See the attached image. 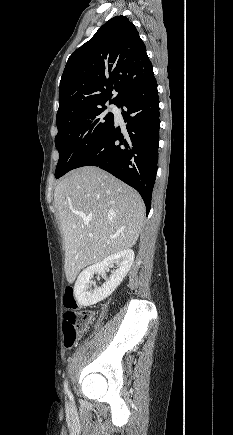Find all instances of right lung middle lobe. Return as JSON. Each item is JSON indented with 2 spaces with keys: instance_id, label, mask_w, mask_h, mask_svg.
Returning <instances> with one entry per match:
<instances>
[{
  "instance_id": "obj_1",
  "label": "right lung middle lobe",
  "mask_w": 233,
  "mask_h": 435,
  "mask_svg": "<svg viewBox=\"0 0 233 435\" xmlns=\"http://www.w3.org/2000/svg\"><path fill=\"white\" fill-rule=\"evenodd\" d=\"M100 106L79 115L57 121L55 146L59 160L56 178L74 169L76 164L104 137L114 122L112 113L105 114Z\"/></svg>"
}]
</instances>
